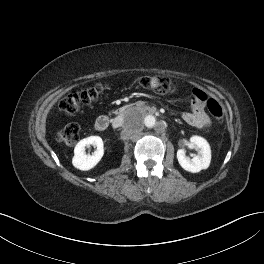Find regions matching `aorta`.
<instances>
[{
  "instance_id": "aorta-1",
  "label": "aorta",
  "mask_w": 264,
  "mask_h": 264,
  "mask_svg": "<svg viewBox=\"0 0 264 264\" xmlns=\"http://www.w3.org/2000/svg\"><path fill=\"white\" fill-rule=\"evenodd\" d=\"M142 122L147 128H153L156 125V118L153 115H147Z\"/></svg>"
}]
</instances>
